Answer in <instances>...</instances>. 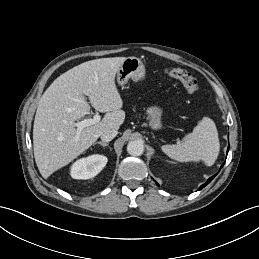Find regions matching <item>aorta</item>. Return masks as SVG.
Segmentation results:
<instances>
[{"label": "aorta", "mask_w": 259, "mask_h": 259, "mask_svg": "<svg viewBox=\"0 0 259 259\" xmlns=\"http://www.w3.org/2000/svg\"><path fill=\"white\" fill-rule=\"evenodd\" d=\"M127 152L131 156H140L144 152L143 142L139 140L130 141L127 145Z\"/></svg>", "instance_id": "obj_1"}]
</instances>
